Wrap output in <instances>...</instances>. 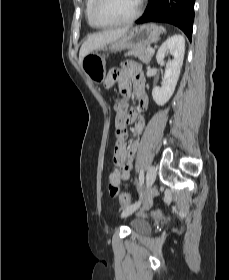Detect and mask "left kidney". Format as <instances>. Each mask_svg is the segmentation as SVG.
<instances>
[{"label": "left kidney", "mask_w": 229, "mask_h": 280, "mask_svg": "<svg viewBox=\"0 0 229 280\" xmlns=\"http://www.w3.org/2000/svg\"><path fill=\"white\" fill-rule=\"evenodd\" d=\"M169 53L173 59L166 63L162 86H156L152 90L153 100L161 106L171 98L179 79L185 53V39L182 35H173L161 45L156 55L158 64L164 65V58Z\"/></svg>", "instance_id": "left-kidney-1"}]
</instances>
